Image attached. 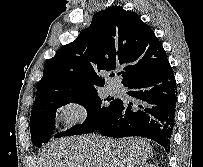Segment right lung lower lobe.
<instances>
[{
    "instance_id": "obj_1",
    "label": "right lung lower lobe",
    "mask_w": 203,
    "mask_h": 167,
    "mask_svg": "<svg viewBox=\"0 0 203 167\" xmlns=\"http://www.w3.org/2000/svg\"><path fill=\"white\" fill-rule=\"evenodd\" d=\"M135 102L119 100L95 131L109 137L141 136L159 143L168 152L175 126L177 89L167 62L160 69L124 85Z\"/></svg>"
}]
</instances>
